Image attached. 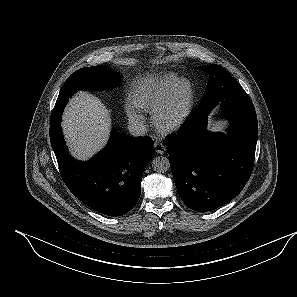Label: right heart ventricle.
Listing matches in <instances>:
<instances>
[{"instance_id":"e07e8e85","label":"right heart ventricle","mask_w":297,"mask_h":297,"mask_svg":"<svg viewBox=\"0 0 297 297\" xmlns=\"http://www.w3.org/2000/svg\"><path fill=\"white\" fill-rule=\"evenodd\" d=\"M180 78L172 73L148 75L136 80L130 90L131 103L138 109L152 111L162 102Z\"/></svg>"}]
</instances>
